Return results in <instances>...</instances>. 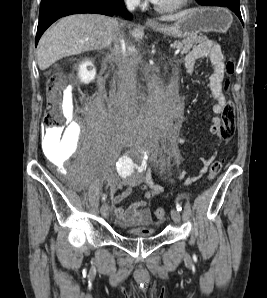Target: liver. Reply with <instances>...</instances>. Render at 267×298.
<instances>
[{
  "mask_svg": "<svg viewBox=\"0 0 267 298\" xmlns=\"http://www.w3.org/2000/svg\"><path fill=\"white\" fill-rule=\"evenodd\" d=\"M185 11L162 16L160 21H175ZM119 30L116 19L98 14H76L60 19L41 37L37 46V61L41 70L49 68L56 61L92 50H101L111 45ZM135 39L141 40V27L132 31Z\"/></svg>",
  "mask_w": 267,
  "mask_h": 298,
  "instance_id": "1",
  "label": "liver"
}]
</instances>
